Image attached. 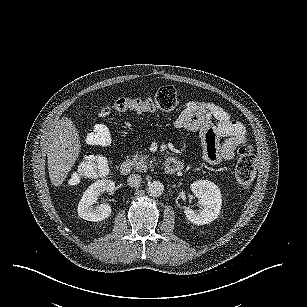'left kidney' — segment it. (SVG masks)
<instances>
[{"mask_svg": "<svg viewBox=\"0 0 307 307\" xmlns=\"http://www.w3.org/2000/svg\"><path fill=\"white\" fill-rule=\"evenodd\" d=\"M192 192L200 197L199 204L203 206L200 211L187 209V219L198 225L208 224L217 219L222 208V193L220 188L210 180H196L190 186Z\"/></svg>", "mask_w": 307, "mask_h": 307, "instance_id": "5707ae66", "label": "left kidney"}]
</instances>
